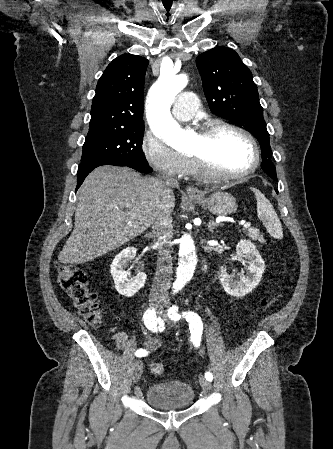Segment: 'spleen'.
Wrapping results in <instances>:
<instances>
[{
  "label": "spleen",
  "mask_w": 333,
  "mask_h": 449,
  "mask_svg": "<svg viewBox=\"0 0 333 449\" xmlns=\"http://www.w3.org/2000/svg\"><path fill=\"white\" fill-rule=\"evenodd\" d=\"M252 191L255 193L257 200V214L259 219L266 226L271 236L276 239H282L283 229L272 204L260 190L252 188Z\"/></svg>",
  "instance_id": "3e777b00"
}]
</instances>
